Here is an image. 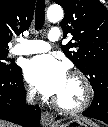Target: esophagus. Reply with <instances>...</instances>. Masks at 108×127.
<instances>
[{
    "label": "esophagus",
    "mask_w": 108,
    "mask_h": 127,
    "mask_svg": "<svg viewBox=\"0 0 108 127\" xmlns=\"http://www.w3.org/2000/svg\"><path fill=\"white\" fill-rule=\"evenodd\" d=\"M41 124L43 127H53L55 124L53 116L48 111L41 114Z\"/></svg>",
    "instance_id": "1"
}]
</instances>
